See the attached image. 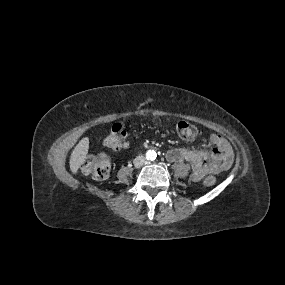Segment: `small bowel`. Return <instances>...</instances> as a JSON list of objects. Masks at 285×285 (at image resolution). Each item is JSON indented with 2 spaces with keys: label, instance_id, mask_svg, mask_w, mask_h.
Returning a JSON list of instances; mask_svg holds the SVG:
<instances>
[{
  "label": "small bowel",
  "instance_id": "c3829d8e",
  "mask_svg": "<svg viewBox=\"0 0 285 285\" xmlns=\"http://www.w3.org/2000/svg\"><path fill=\"white\" fill-rule=\"evenodd\" d=\"M208 143L212 147L209 151L174 148L168 151L167 158L172 162L191 163L195 180H200L210 172L228 170L233 162V151L229 142L218 135H211Z\"/></svg>",
  "mask_w": 285,
  "mask_h": 285
}]
</instances>
